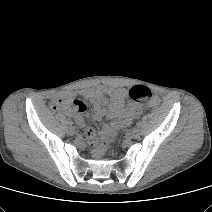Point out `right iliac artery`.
Masks as SVG:
<instances>
[{
	"instance_id": "obj_1",
	"label": "right iliac artery",
	"mask_w": 212,
	"mask_h": 212,
	"mask_svg": "<svg viewBox=\"0 0 212 212\" xmlns=\"http://www.w3.org/2000/svg\"><path fill=\"white\" fill-rule=\"evenodd\" d=\"M67 124L72 125V121H67Z\"/></svg>"
}]
</instances>
